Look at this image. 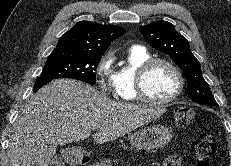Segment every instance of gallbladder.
<instances>
[{
	"label": "gallbladder",
	"mask_w": 231,
	"mask_h": 166,
	"mask_svg": "<svg viewBox=\"0 0 231 166\" xmlns=\"http://www.w3.org/2000/svg\"><path fill=\"white\" fill-rule=\"evenodd\" d=\"M49 166H62V160L59 157H54L51 162L49 163Z\"/></svg>",
	"instance_id": "obj_1"
}]
</instances>
